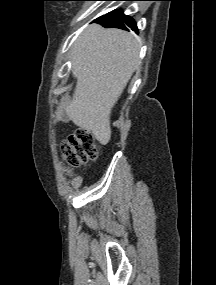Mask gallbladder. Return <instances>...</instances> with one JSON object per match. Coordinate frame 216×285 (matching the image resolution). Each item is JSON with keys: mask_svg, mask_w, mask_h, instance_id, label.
I'll return each mask as SVG.
<instances>
[{"mask_svg": "<svg viewBox=\"0 0 216 285\" xmlns=\"http://www.w3.org/2000/svg\"><path fill=\"white\" fill-rule=\"evenodd\" d=\"M62 120L64 121V122H68L70 119H69V117H68V115L64 112L63 114H62Z\"/></svg>", "mask_w": 216, "mask_h": 285, "instance_id": "gallbladder-1", "label": "gallbladder"}]
</instances>
